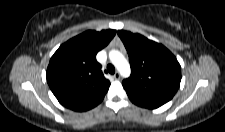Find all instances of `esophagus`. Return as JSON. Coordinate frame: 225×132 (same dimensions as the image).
<instances>
[{"mask_svg": "<svg viewBox=\"0 0 225 132\" xmlns=\"http://www.w3.org/2000/svg\"><path fill=\"white\" fill-rule=\"evenodd\" d=\"M113 77L115 80H119L121 76L119 72H116Z\"/></svg>", "mask_w": 225, "mask_h": 132, "instance_id": "esophagus-1", "label": "esophagus"}]
</instances>
